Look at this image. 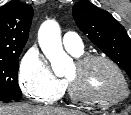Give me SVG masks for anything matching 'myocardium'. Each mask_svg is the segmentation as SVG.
I'll return each mask as SVG.
<instances>
[{
	"instance_id": "myocardium-1",
	"label": "myocardium",
	"mask_w": 131,
	"mask_h": 115,
	"mask_svg": "<svg viewBox=\"0 0 131 115\" xmlns=\"http://www.w3.org/2000/svg\"><path fill=\"white\" fill-rule=\"evenodd\" d=\"M94 62L105 63L116 72V74L121 79L122 86H123V91L121 95L115 98H100L92 94H88V93H84L80 91L70 79H66L67 89H68V94H69L70 99L81 104H91V105H99V106H105V107L116 105L124 101L125 99H127L129 95L128 81L122 69L112 59L103 55H96V54L86 55V56L79 57L76 60L75 67L77 68V70L82 71L87 66H89L90 64Z\"/></svg>"
}]
</instances>
